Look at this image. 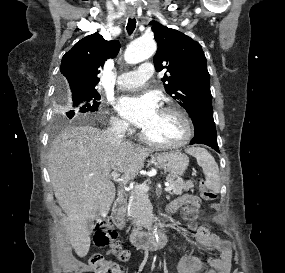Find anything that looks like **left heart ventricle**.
I'll return each instance as SVG.
<instances>
[{"mask_svg": "<svg viewBox=\"0 0 285 273\" xmlns=\"http://www.w3.org/2000/svg\"><path fill=\"white\" fill-rule=\"evenodd\" d=\"M142 131L153 141L173 142L182 137L184 128L175 114L160 111L157 118Z\"/></svg>", "mask_w": 285, "mask_h": 273, "instance_id": "b2bd125f", "label": "left heart ventricle"}]
</instances>
